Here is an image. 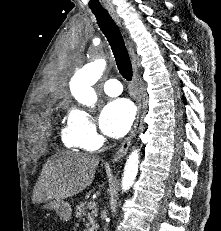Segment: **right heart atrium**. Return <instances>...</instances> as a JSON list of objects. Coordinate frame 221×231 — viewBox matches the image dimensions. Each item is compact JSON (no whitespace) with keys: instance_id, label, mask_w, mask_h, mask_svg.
<instances>
[{"instance_id":"1","label":"right heart atrium","mask_w":221,"mask_h":231,"mask_svg":"<svg viewBox=\"0 0 221 231\" xmlns=\"http://www.w3.org/2000/svg\"><path fill=\"white\" fill-rule=\"evenodd\" d=\"M71 128L84 149H93L99 144L98 134L93 117L83 108H74L69 117Z\"/></svg>"}]
</instances>
